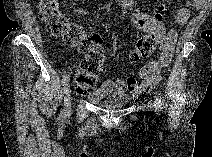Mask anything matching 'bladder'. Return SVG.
<instances>
[{
	"instance_id": "1",
	"label": "bladder",
	"mask_w": 212,
	"mask_h": 157,
	"mask_svg": "<svg viewBox=\"0 0 212 157\" xmlns=\"http://www.w3.org/2000/svg\"><path fill=\"white\" fill-rule=\"evenodd\" d=\"M130 102V98L123 94L111 95L104 100L100 101L98 105L100 107L108 109H120L125 107Z\"/></svg>"
}]
</instances>
